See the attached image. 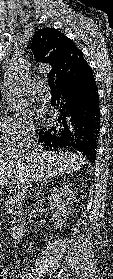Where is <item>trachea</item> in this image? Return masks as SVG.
<instances>
[{
    "label": "trachea",
    "instance_id": "1",
    "mask_svg": "<svg viewBox=\"0 0 113 279\" xmlns=\"http://www.w3.org/2000/svg\"><path fill=\"white\" fill-rule=\"evenodd\" d=\"M48 84H49V86H50L51 89H54V90L56 89V88H55L54 81H53L52 78H48Z\"/></svg>",
    "mask_w": 113,
    "mask_h": 279
}]
</instances>
